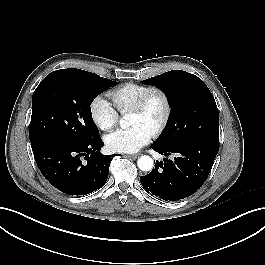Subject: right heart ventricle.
<instances>
[{"mask_svg":"<svg viewBox=\"0 0 265 265\" xmlns=\"http://www.w3.org/2000/svg\"><path fill=\"white\" fill-rule=\"evenodd\" d=\"M152 87L139 83H126L113 89L109 95L116 108L124 113L129 111Z\"/></svg>","mask_w":265,"mask_h":265,"instance_id":"1","label":"right heart ventricle"}]
</instances>
